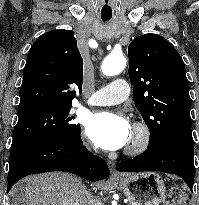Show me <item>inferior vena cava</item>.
<instances>
[{
  "mask_svg": "<svg viewBox=\"0 0 199 205\" xmlns=\"http://www.w3.org/2000/svg\"><path fill=\"white\" fill-rule=\"evenodd\" d=\"M85 196H86L88 205H102L100 201L96 199L94 196H92V194L89 193L87 190L85 191Z\"/></svg>",
  "mask_w": 199,
  "mask_h": 205,
  "instance_id": "inferior-vena-cava-1",
  "label": "inferior vena cava"
}]
</instances>
